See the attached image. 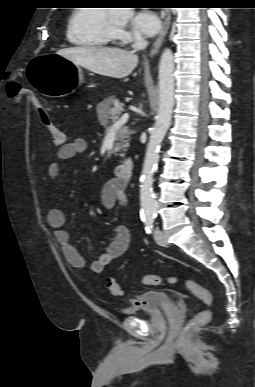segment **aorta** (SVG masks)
Instances as JSON below:
<instances>
[{"label": "aorta", "mask_w": 255, "mask_h": 387, "mask_svg": "<svg viewBox=\"0 0 255 387\" xmlns=\"http://www.w3.org/2000/svg\"><path fill=\"white\" fill-rule=\"evenodd\" d=\"M110 15L126 22L133 15V8H109ZM174 56L171 49L163 51L159 62V108L155 125L150 132L143 170L140 177L141 212L145 218L154 217L157 201L153 192V175L159 161L160 145L171 124L174 107Z\"/></svg>", "instance_id": "762f6f07"}]
</instances>
